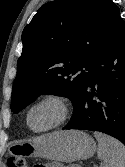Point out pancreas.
<instances>
[{
    "label": "pancreas",
    "mask_w": 125,
    "mask_h": 167,
    "mask_svg": "<svg viewBox=\"0 0 125 167\" xmlns=\"http://www.w3.org/2000/svg\"><path fill=\"white\" fill-rule=\"evenodd\" d=\"M65 167H80V166L72 164V165H68V166H65Z\"/></svg>",
    "instance_id": "obj_1"
}]
</instances>
